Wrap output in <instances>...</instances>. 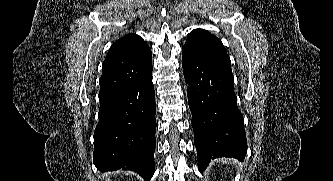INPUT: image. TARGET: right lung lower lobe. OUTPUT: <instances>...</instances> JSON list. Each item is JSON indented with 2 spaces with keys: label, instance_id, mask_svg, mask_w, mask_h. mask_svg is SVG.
<instances>
[{
  "label": "right lung lower lobe",
  "instance_id": "1",
  "mask_svg": "<svg viewBox=\"0 0 333 181\" xmlns=\"http://www.w3.org/2000/svg\"><path fill=\"white\" fill-rule=\"evenodd\" d=\"M155 112L152 74L100 100L93 152L97 169L131 170L150 180L156 146Z\"/></svg>",
  "mask_w": 333,
  "mask_h": 181
}]
</instances>
